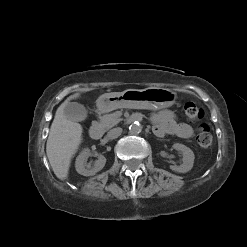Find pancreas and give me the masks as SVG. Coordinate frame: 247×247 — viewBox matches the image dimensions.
I'll return each instance as SVG.
<instances>
[{
	"instance_id": "1",
	"label": "pancreas",
	"mask_w": 247,
	"mask_h": 247,
	"mask_svg": "<svg viewBox=\"0 0 247 247\" xmlns=\"http://www.w3.org/2000/svg\"><path fill=\"white\" fill-rule=\"evenodd\" d=\"M120 112L116 111L111 114H106L100 117L99 125L103 130H108L117 125L122 119L120 118Z\"/></svg>"
}]
</instances>
